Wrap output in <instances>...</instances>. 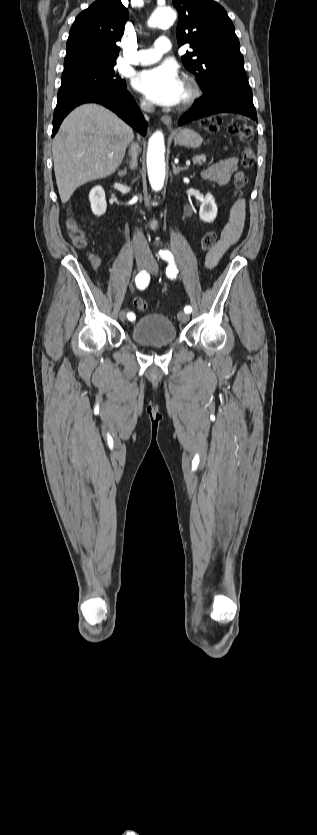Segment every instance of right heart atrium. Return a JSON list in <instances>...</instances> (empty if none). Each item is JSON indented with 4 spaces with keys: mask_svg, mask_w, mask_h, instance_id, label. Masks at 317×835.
<instances>
[{
    "mask_svg": "<svg viewBox=\"0 0 317 835\" xmlns=\"http://www.w3.org/2000/svg\"><path fill=\"white\" fill-rule=\"evenodd\" d=\"M139 105L143 110H149L151 108V104L145 99H140Z\"/></svg>",
    "mask_w": 317,
    "mask_h": 835,
    "instance_id": "right-heart-atrium-1",
    "label": "right heart atrium"
}]
</instances>
